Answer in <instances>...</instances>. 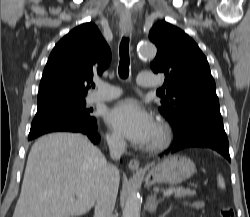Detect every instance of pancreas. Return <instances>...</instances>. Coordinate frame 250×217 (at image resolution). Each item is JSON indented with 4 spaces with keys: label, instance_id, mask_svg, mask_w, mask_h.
Segmentation results:
<instances>
[{
    "label": "pancreas",
    "instance_id": "1",
    "mask_svg": "<svg viewBox=\"0 0 250 217\" xmlns=\"http://www.w3.org/2000/svg\"><path fill=\"white\" fill-rule=\"evenodd\" d=\"M167 190H171L176 198L194 196L196 194L195 190L185 189L181 187H171Z\"/></svg>",
    "mask_w": 250,
    "mask_h": 217
}]
</instances>
